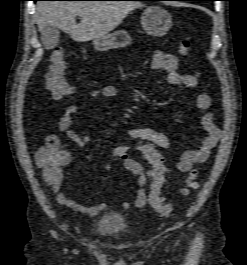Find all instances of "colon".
Returning a JSON list of instances; mask_svg holds the SVG:
<instances>
[{"label": "colon", "mask_w": 247, "mask_h": 265, "mask_svg": "<svg viewBox=\"0 0 247 265\" xmlns=\"http://www.w3.org/2000/svg\"><path fill=\"white\" fill-rule=\"evenodd\" d=\"M192 48V40L189 37L182 39L178 43V51L180 55H189ZM51 64L46 75V86L51 91L55 99L71 98L75 94V87L67 83L64 78L65 58L64 51L56 48L52 51ZM138 151L150 166L149 170V202L151 206L160 215H169L173 211L172 203H164L161 196V189L166 181L167 167L164 160L155 146L149 143H141ZM128 148L124 145L116 146L112 150V157L115 159H126ZM36 157L39 158L42 165L50 170H56L64 166V156L60 151H51L42 147L37 150ZM198 171L192 170L186 180L185 185L181 189L182 196H187L192 190L197 189L199 184L197 181Z\"/></svg>", "instance_id": "1"}]
</instances>
